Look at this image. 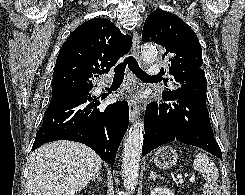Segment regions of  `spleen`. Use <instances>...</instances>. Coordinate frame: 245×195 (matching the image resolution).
Listing matches in <instances>:
<instances>
[{
	"instance_id": "1",
	"label": "spleen",
	"mask_w": 245,
	"mask_h": 195,
	"mask_svg": "<svg viewBox=\"0 0 245 195\" xmlns=\"http://www.w3.org/2000/svg\"><path fill=\"white\" fill-rule=\"evenodd\" d=\"M194 170L201 172L206 182L215 184L219 177L218 168L214 162L204 153L196 155L193 162Z\"/></svg>"
}]
</instances>
